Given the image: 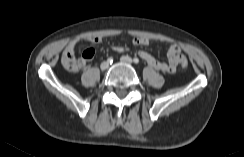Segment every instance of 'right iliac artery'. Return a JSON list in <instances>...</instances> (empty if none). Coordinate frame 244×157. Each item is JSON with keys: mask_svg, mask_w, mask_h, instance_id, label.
I'll return each mask as SVG.
<instances>
[{"mask_svg": "<svg viewBox=\"0 0 244 157\" xmlns=\"http://www.w3.org/2000/svg\"><path fill=\"white\" fill-rule=\"evenodd\" d=\"M107 62L111 64V63L113 62V58H112V57H109V58L107 59Z\"/></svg>", "mask_w": 244, "mask_h": 157, "instance_id": "82829eb1", "label": "right iliac artery"}]
</instances>
